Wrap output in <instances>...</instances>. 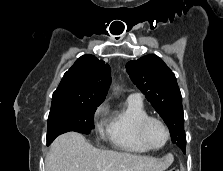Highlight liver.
I'll return each instance as SVG.
<instances>
[{
  "instance_id": "1",
  "label": "liver",
  "mask_w": 223,
  "mask_h": 171,
  "mask_svg": "<svg viewBox=\"0 0 223 171\" xmlns=\"http://www.w3.org/2000/svg\"><path fill=\"white\" fill-rule=\"evenodd\" d=\"M171 154L159 160L127 152L99 150L79 133L57 137L45 160L46 171H165L173 162Z\"/></svg>"
}]
</instances>
